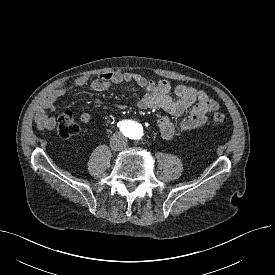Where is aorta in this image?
I'll return each instance as SVG.
<instances>
[{
  "label": "aorta",
  "instance_id": "obj_1",
  "mask_svg": "<svg viewBox=\"0 0 275 275\" xmlns=\"http://www.w3.org/2000/svg\"><path fill=\"white\" fill-rule=\"evenodd\" d=\"M127 131L130 133V135L134 138H138L141 134V126L138 123H131L127 127Z\"/></svg>",
  "mask_w": 275,
  "mask_h": 275
}]
</instances>
